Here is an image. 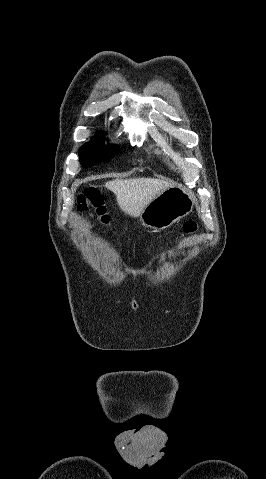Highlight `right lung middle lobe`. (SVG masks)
Masks as SVG:
<instances>
[{"label": "right lung middle lobe", "instance_id": "obj_1", "mask_svg": "<svg viewBox=\"0 0 266 479\" xmlns=\"http://www.w3.org/2000/svg\"><path fill=\"white\" fill-rule=\"evenodd\" d=\"M101 138L84 144L79 150V158L82 166L94 165L98 162L110 160L118 151L117 146H104Z\"/></svg>", "mask_w": 266, "mask_h": 479}]
</instances>
